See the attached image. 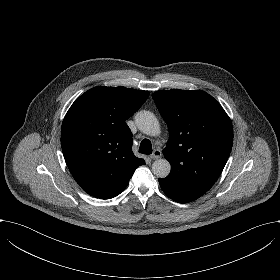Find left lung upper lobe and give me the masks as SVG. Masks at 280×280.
<instances>
[{"label":"left lung upper lobe","mask_w":280,"mask_h":280,"mask_svg":"<svg viewBox=\"0 0 280 280\" xmlns=\"http://www.w3.org/2000/svg\"><path fill=\"white\" fill-rule=\"evenodd\" d=\"M152 97L169 129L163 154L171 172L161 179L177 191H208L232 149L230 118L204 91L172 89L157 91Z\"/></svg>","instance_id":"1"}]
</instances>
